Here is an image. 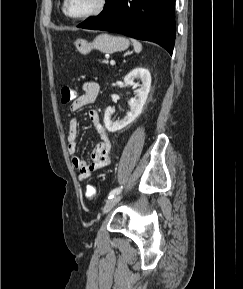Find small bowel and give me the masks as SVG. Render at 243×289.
Returning <instances> with one entry per match:
<instances>
[{
    "mask_svg": "<svg viewBox=\"0 0 243 289\" xmlns=\"http://www.w3.org/2000/svg\"><path fill=\"white\" fill-rule=\"evenodd\" d=\"M84 93L77 96L70 105V112L74 113L81 108L95 102L99 94V85L94 81H87L83 85ZM89 119L93 129L99 135L100 141L91 152V162L87 163L78 156L71 159L72 165L79 173L80 180H86L91 174L99 169L108 166L111 162L110 149L111 143L107 131L100 122L99 114L96 110L89 111ZM78 121L72 117L69 121L67 140L68 152L74 155L77 150Z\"/></svg>",
    "mask_w": 243,
    "mask_h": 289,
    "instance_id": "1",
    "label": "small bowel"
}]
</instances>
